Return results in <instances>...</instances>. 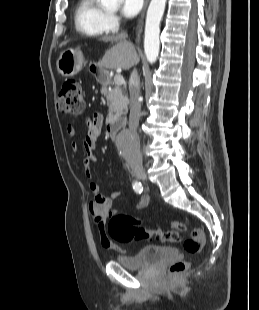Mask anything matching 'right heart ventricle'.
<instances>
[{"label": "right heart ventricle", "instance_id": "right-heart-ventricle-1", "mask_svg": "<svg viewBox=\"0 0 259 310\" xmlns=\"http://www.w3.org/2000/svg\"><path fill=\"white\" fill-rule=\"evenodd\" d=\"M106 16L97 0H79L75 12L76 29L91 36L107 33Z\"/></svg>", "mask_w": 259, "mask_h": 310}]
</instances>
